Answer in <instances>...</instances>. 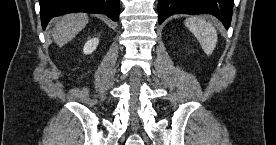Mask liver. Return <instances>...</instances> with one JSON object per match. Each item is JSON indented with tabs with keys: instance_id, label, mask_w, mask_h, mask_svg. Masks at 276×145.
Here are the masks:
<instances>
[{
	"instance_id": "liver-1",
	"label": "liver",
	"mask_w": 276,
	"mask_h": 145,
	"mask_svg": "<svg viewBox=\"0 0 276 145\" xmlns=\"http://www.w3.org/2000/svg\"><path fill=\"white\" fill-rule=\"evenodd\" d=\"M88 23V16L84 13L64 15L55 22L53 39L59 47L71 41Z\"/></svg>"
}]
</instances>
